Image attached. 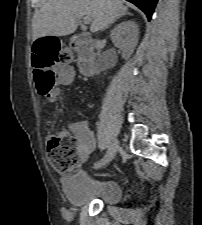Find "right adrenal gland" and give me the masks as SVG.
Masks as SVG:
<instances>
[{"label": "right adrenal gland", "mask_w": 202, "mask_h": 225, "mask_svg": "<svg viewBox=\"0 0 202 225\" xmlns=\"http://www.w3.org/2000/svg\"><path fill=\"white\" fill-rule=\"evenodd\" d=\"M128 15H131V14H130V13H128ZM108 27H109V26H107V27H106V28H104V29H107ZM104 29H103V30H104Z\"/></svg>", "instance_id": "2a0ac1e0"}]
</instances>
